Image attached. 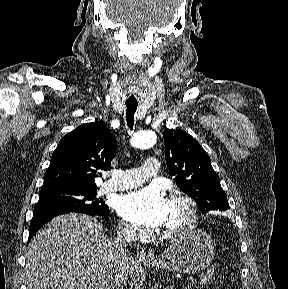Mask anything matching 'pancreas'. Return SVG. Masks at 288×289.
<instances>
[{
	"mask_svg": "<svg viewBox=\"0 0 288 289\" xmlns=\"http://www.w3.org/2000/svg\"><path fill=\"white\" fill-rule=\"evenodd\" d=\"M214 280V268H210L206 271V273L202 274L199 285L205 286L207 283Z\"/></svg>",
	"mask_w": 288,
	"mask_h": 289,
	"instance_id": "pancreas-1",
	"label": "pancreas"
}]
</instances>
